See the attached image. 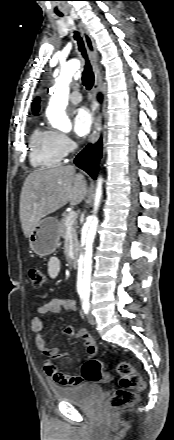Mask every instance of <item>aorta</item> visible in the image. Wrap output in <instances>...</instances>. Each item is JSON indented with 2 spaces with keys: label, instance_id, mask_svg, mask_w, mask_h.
I'll list each match as a JSON object with an SVG mask.
<instances>
[{
  "label": "aorta",
  "instance_id": "obj_1",
  "mask_svg": "<svg viewBox=\"0 0 174 440\" xmlns=\"http://www.w3.org/2000/svg\"><path fill=\"white\" fill-rule=\"evenodd\" d=\"M79 68L80 63L77 60L70 61L61 68L60 74L55 80V89L51 95L46 111L52 127L63 132H69L71 130V122L65 113V109L68 105L69 99V85ZM101 184L102 180L100 179L98 181V188L95 196L94 214L87 219L82 229L81 242L83 252L78 260V289L83 291L90 289L93 242L99 223L96 211L100 203Z\"/></svg>",
  "mask_w": 174,
  "mask_h": 440
}]
</instances>
